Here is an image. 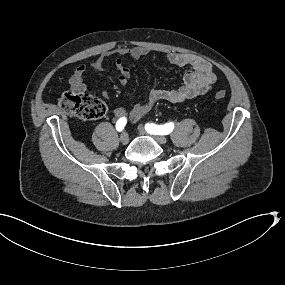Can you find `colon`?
<instances>
[{"label": "colon", "mask_w": 285, "mask_h": 285, "mask_svg": "<svg viewBox=\"0 0 285 285\" xmlns=\"http://www.w3.org/2000/svg\"><path fill=\"white\" fill-rule=\"evenodd\" d=\"M217 101L226 98L224 90H217L214 94ZM59 106L70 116L82 120H95L103 117L107 108L103 101L80 91H68L64 93L60 100Z\"/></svg>", "instance_id": "1"}]
</instances>
